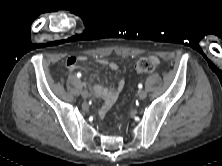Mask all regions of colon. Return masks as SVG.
Instances as JSON below:
<instances>
[{
	"label": "colon",
	"instance_id": "obj_1",
	"mask_svg": "<svg viewBox=\"0 0 222 166\" xmlns=\"http://www.w3.org/2000/svg\"><path fill=\"white\" fill-rule=\"evenodd\" d=\"M156 59L153 57H142L135 64L138 73H150L155 69Z\"/></svg>",
	"mask_w": 222,
	"mask_h": 166
}]
</instances>
